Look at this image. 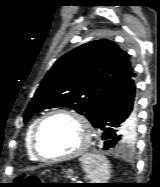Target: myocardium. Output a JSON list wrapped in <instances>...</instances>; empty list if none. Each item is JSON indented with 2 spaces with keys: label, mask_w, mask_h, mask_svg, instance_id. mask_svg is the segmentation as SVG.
I'll return each mask as SVG.
<instances>
[{
  "label": "myocardium",
  "mask_w": 160,
  "mask_h": 187,
  "mask_svg": "<svg viewBox=\"0 0 160 187\" xmlns=\"http://www.w3.org/2000/svg\"><path fill=\"white\" fill-rule=\"evenodd\" d=\"M57 115H68L77 119L83 127L84 139L82 144L72 152L64 155L55 156V157H48L41 153L38 145V138H39L40 131L43 125L45 124V122L49 120L51 117ZM91 140H92V126L90 121L87 119V117L84 114L72 109H57L46 113L37 121L32 133V150L40 161L45 163H56V162L65 161L80 156L88 149Z\"/></svg>",
  "instance_id": "1"
}]
</instances>
